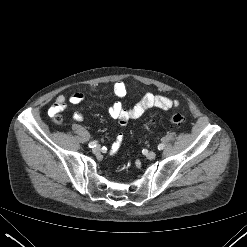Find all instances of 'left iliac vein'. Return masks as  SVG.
<instances>
[{
	"label": "left iliac vein",
	"instance_id": "left-iliac-vein-1",
	"mask_svg": "<svg viewBox=\"0 0 247 247\" xmlns=\"http://www.w3.org/2000/svg\"><path fill=\"white\" fill-rule=\"evenodd\" d=\"M146 157L150 160L154 159L156 157V153L154 151H150L146 154Z\"/></svg>",
	"mask_w": 247,
	"mask_h": 247
}]
</instances>
